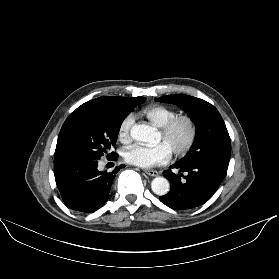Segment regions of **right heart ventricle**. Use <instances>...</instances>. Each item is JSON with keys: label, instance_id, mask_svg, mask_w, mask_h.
<instances>
[{"label": "right heart ventricle", "instance_id": "right-heart-ventricle-1", "mask_svg": "<svg viewBox=\"0 0 279 279\" xmlns=\"http://www.w3.org/2000/svg\"><path fill=\"white\" fill-rule=\"evenodd\" d=\"M141 114L155 127L161 128L170 119L178 115V111L164 105H154L141 111Z\"/></svg>", "mask_w": 279, "mask_h": 279}]
</instances>
